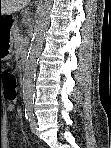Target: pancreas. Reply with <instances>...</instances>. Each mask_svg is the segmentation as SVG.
<instances>
[{"label": "pancreas", "instance_id": "cf45deb5", "mask_svg": "<svg viewBox=\"0 0 111 148\" xmlns=\"http://www.w3.org/2000/svg\"><path fill=\"white\" fill-rule=\"evenodd\" d=\"M13 35H14V38H15V44L17 47H22L23 44L20 42V41H23L21 40L22 39V35L19 34V30L18 28H16L13 32Z\"/></svg>", "mask_w": 111, "mask_h": 148}]
</instances>
